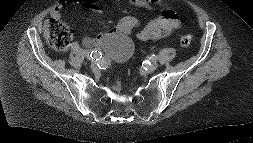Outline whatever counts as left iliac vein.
I'll use <instances>...</instances> for the list:
<instances>
[{"instance_id":"1","label":"left iliac vein","mask_w":253,"mask_h":143,"mask_svg":"<svg viewBox=\"0 0 253 143\" xmlns=\"http://www.w3.org/2000/svg\"><path fill=\"white\" fill-rule=\"evenodd\" d=\"M158 64L156 62H153L151 66L148 67L149 72H153L157 69Z\"/></svg>"}]
</instances>
